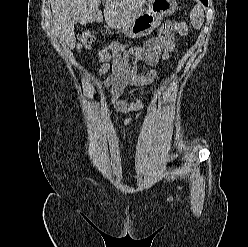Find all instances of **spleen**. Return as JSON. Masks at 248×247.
Returning a JSON list of instances; mask_svg holds the SVG:
<instances>
[{"mask_svg":"<svg viewBox=\"0 0 248 247\" xmlns=\"http://www.w3.org/2000/svg\"><path fill=\"white\" fill-rule=\"evenodd\" d=\"M190 20L195 29H200L204 22V11L201 5H196L190 13Z\"/></svg>","mask_w":248,"mask_h":247,"instance_id":"spleen-1","label":"spleen"}]
</instances>
